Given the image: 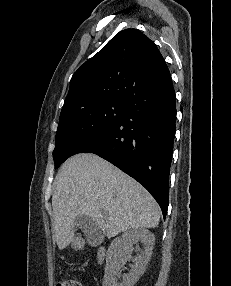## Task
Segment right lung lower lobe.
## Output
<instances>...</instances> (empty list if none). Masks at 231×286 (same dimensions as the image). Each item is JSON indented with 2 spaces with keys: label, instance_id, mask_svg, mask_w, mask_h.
<instances>
[{
  "label": "right lung lower lobe",
  "instance_id": "obj_1",
  "mask_svg": "<svg viewBox=\"0 0 231 286\" xmlns=\"http://www.w3.org/2000/svg\"><path fill=\"white\" fill-rule=\"evenodd\" d=\"M126 113L78 153L99 155L142 184L166 216L176 105L171 77L130 95Z\"/></svg>",
  "mask_w": 231,
  "mask_h": 286
}]
</instances>
